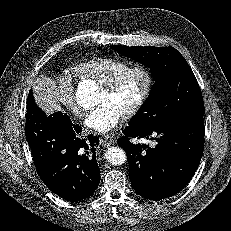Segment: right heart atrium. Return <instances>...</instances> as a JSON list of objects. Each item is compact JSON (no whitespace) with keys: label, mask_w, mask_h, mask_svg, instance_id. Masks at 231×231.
Instances as JSON below:
<instances>
[{"label":"right heart atrium","mask_w":231,"mask_h":231,"mask_svg":"<svg viewBox=\"0 0 231 231\" xmlns=\"http://www.w3.org/2000/svg\"><path fill=\"white\" fill-rule=\"evenodd\" d=\"M52 93L56 102L62 108L70 111L75 116H83L84 110L76 100L74 82L70 75L66 73L58 74L54 79Z\"/></svg>","instance_id":"d8ad5b80"}]
</instances>
